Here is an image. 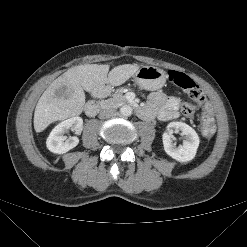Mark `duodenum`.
<instances>
[{
    "label": "duodenum",
    "mask_w": 247,
    "mask_h": 247,
    "mask_svg": "<svg viewBox=\"0 0 247 247\" xmlns=\"http://www.w3.org/2000/svg\"><path fill=\"white\" fill-rule=\"evenodd\" d=\"M111 90V85L108 82L103 83L96 89V95L98 97H104L106 96ZM104 109V106L101 104L99 99H93L90 100L85 105V112L88 116H95L97 115L101 110ZM135 112L140 117L144 118L146 116V109L140 106H134Z\"/></svg>",
    "instance_id": "1"
}]
</instances>
